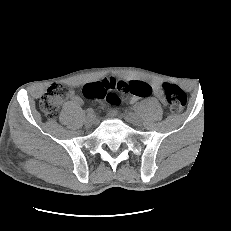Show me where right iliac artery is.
Instances as JSON below:
<instances>
[{"label":"right iliac artery","mask_w":231,"mask_h":231,"mask_svg":"<svg viewBox=\"0 0 231 231\" xmlns=\"http://www.w3.org/2000/svg\"><path fill=\"white\" fill-rule=\"evenodd\" d=\"M86 112H87L88 115H93L94 114V110L92 108H88L86 110Z\"/></svg>","instance_id":"obj_1"}]
</instances>
